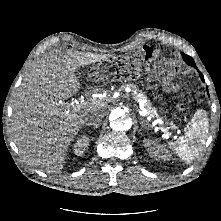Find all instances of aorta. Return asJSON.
I'll return each mask as SVG.
<instances>
[{"label":"aorta","mask_w":221,"mask_h":221,"mask_svg":"<svg viewBox=\"0 0 221 221\" xmlns=\"http://www.w3.org/2000/svg\"><path fill=\"white\" fill-rule=\"evenodd\" d=\"M133 119L124 109H115L110 115V126L114 131L124 132L131 129Z\"/></svg>","instance_id":"1"}]
</instances>
